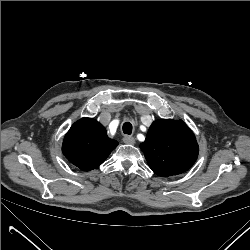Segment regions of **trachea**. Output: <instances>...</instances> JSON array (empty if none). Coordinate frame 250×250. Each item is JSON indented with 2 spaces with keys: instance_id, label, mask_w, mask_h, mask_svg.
<instances>
[{
  "instance_id": "trachea-1",
  "label": "trachea",
  "mask_w": 250,
  "mask_h": 250,
  "mask_svg": "<svg viewBox=\"0 0 250 250\" xmlns=\"http://www.w3.org/2000/svg\"><path fill=\"white\" fill-rule=\"evenodd\" d=\"M132 124L130 122H125L122 126V130L124 134L130 135L132 133Z\"/></svg>"
}]
</instances>
